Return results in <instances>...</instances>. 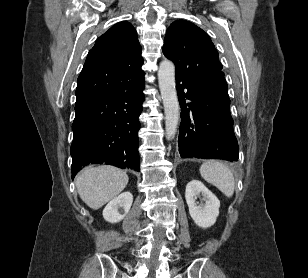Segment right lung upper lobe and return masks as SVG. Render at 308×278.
<instances>
[{
    "label": "right lung upper lobe",
    "mask_w": 308,
    "mask_h": 278,
    "mask_svg": "<svg viewBox=\"0 0 308 278\" xmlns=\"http://www.w3.org/2000/svg\"><path fill=\"white\" fill-rule=\"evenodd\" d=\"M141 46L127 21L112 26L89 51L77 80L76 104L130 90L144 78Z\"/></svg>",
    "instance_id": "right-lung-upper-lobe-1"
}]
</instances>
